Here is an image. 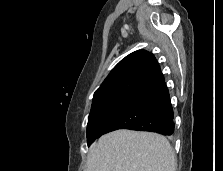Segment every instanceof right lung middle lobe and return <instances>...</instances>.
<instances>
[{
  "mask_svg": "<svg viewBox=\"0 0 223 171\" xmlns=\"http://www.w3.org/2000/svg\"><path fill=\"white\" fill-rule=\"evenodd\" d=\"M136 97L133 95H114L93 101L87 124L88 145L99 138L105 126Z\"/></svg>",
  "mask_w": 223,
  "mask_h": 171,
  "instance_id": "obj_1",
  "label": "right lung middle lobe"
}]
</instances>
